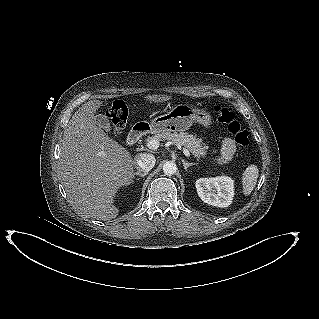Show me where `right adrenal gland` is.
Instances as JSON below:
<instances>
[{
	"label": "right adrenal gland",
	"instance_id": "obj_1",
	"mask_svg": "<svg viewBox=\"0 0 319 319\" xmlns=\"http://www.w3.org/2000/svg\"><path fill=\"white\" fill-rule=\"evenodd\" d=\"M146 175H147V173H146V172H144V173H141V172H135V173L133 174L134 178H135V176L145 177Z\"/></svg>",
	"mask_w": 319,
	"mask_h": 319
}]
</instances>
